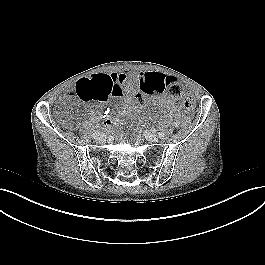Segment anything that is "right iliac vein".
<instances>
[{"instance_id":"right-iliac-vein-1","label":"right iliac vein","mask_w":265,"mask_h":265,"mask_svg":"<svg viewBox=\"0 0 265 265\" xmlns=\"http://www.w3.org/2000/svg\"><path fill=\"white\" fill-rule=\"evenodd\" d=\"M96 141L99 142V143H102L105 141V137L103 135H100L96 138Z\"/></svg>"}]
</instances>
